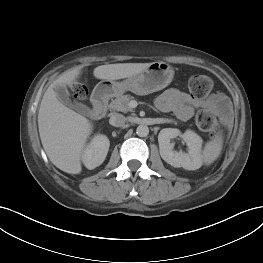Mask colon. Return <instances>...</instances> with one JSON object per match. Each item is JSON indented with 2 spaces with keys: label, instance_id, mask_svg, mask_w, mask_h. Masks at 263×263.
Wrapping results in <instances>:
<instances>
[{
  "label": "colon",
  "instance_id": "obj_1",
  "mask_svg": "<svg viewBox=\"0 0 263 263\" xmlns=\"http://www.w3.org/2000/svg\"><path fill=\"white\" fill-rule=\"evenodd\" d=\"M213 88V81L206 75H194L188 80V89L190 93L198 98L204 99L207 97ZM87 90L83 86H76L73 89L72 96L74 99H82L86 96ZM196 125L202 130L209 133L211 136L218 134V126L216 116L208 111H201L195 117Z\"/></svg>",
  "mask_w": 263,
  "mask_h": 263
}]
</instances>
